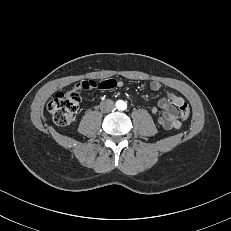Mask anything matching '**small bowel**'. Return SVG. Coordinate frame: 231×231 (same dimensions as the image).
<instances>
[{
	"label": "small bowel",
	"mask_w": 231,
	"mask_h": 231,
	"mask_svg": "<svg viewBox=\"0 0 231 231\" xmlns=\"http://www.w3.org/2000/svg\"><path fill=\"white\" fill-rule=\"evenodd\" d=\"M123 82L116 81L115 79H106L96 84L93 81H82L76 84V89L87 90L91 87H96L109 90L115 87H121ZM152 91H158L161 89L162 85L158 81H152L149 85ZM185 102V100L173 93L167 92L166 95L161 98L158 102L157 107L151 109L152 114H158L157 122L158 124L166 129H179L181 127V122L178 119V109Z\"/></svg>",
	"instance_id": "obj_1"
}]
</instances>
